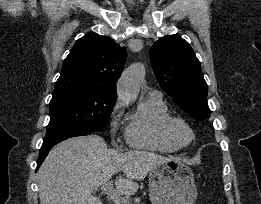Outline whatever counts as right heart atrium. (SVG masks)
I'll return each instance as SVG.
<instances>
[{"label":"right heart atrium","mask_w":261,"mask_h":204,"mask_svg":"<svg viewBox=\"0 0 261 204\" xmlns=\"http://www.w3.org/2000/svg\"><path fill=\"white\" fill-rule=\"evenodd\" d=\"M122 107V101L117 100L111 108L110 118L113 119L114 116L122 109ZM110 132L113 138H117L120 134V130L114 122H111Z\"/></svg>","instance_id":"1"}]
</instances>
